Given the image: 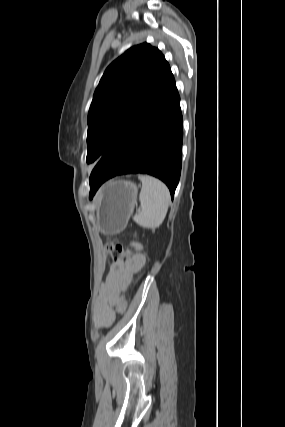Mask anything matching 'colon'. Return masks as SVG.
I'll list each match as a JSON object with an SVG mask.
<instances>
[{"label": "colon", "mask_w": 285, "mask_h": 427, "mask_svg": "<svg viewBox=\"0 0 285 427\" xmlns=\"http://www.w3.org/2000/svg\"><path fill=\"white\" fill-rule=\"evenodd\" d=\"M105 254L110 260H120L124 258H128L130 255V251L119 243H107L105 245ZM127 308V300L126 296L122 295L117 304V313L123 314Z\"/></svg>", "instance_id": "obj_1"}]
</instances>
